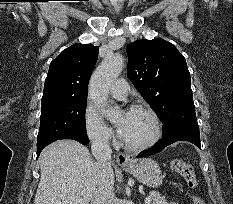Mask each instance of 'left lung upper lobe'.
I'll use <instances>...</instances> for the list:
<instances>
[{
	"label": "left lung upper lobe",
	"instance_id": "left-lung-upper-lobe-1",
	"mask_svg": "<svg viewBox=\"0 0 233 204\" xmlns=\"http://www.w3.org/2000/svg\"><path fill=\"white\" fill-rule=\"evenodd\" d=\"M127 76L163 123V134L178 126H198L185 58L160 38L127 46Z\"/></svg>",
	"mask_w": 233,
	"mask_h": 204
}]
</instances>
